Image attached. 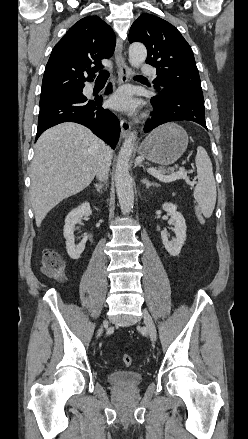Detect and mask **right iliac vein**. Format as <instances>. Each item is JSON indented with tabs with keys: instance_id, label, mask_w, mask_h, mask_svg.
I'll list each match as a JSON object with an SVG mask.
<instances>
[{
	"instance_id": "1",
	"label": "right iliac vein",
	"mask_w": 248,
	"mask_h": 439,
	"mask_svg": "<svg viewBox=\"0 0 248 439\" xmlns=\"http://www.w3.org/2000/svg\"><path fill=\"white\" fill-rule=\"evenodd\" d=\"M103 326H104V327H107V326H108V323L105 322V323L103 324ZM101 331H102V329H101Z\"/></svg>"
}]
</instances>
